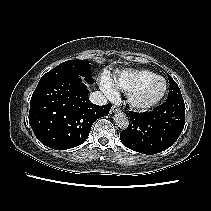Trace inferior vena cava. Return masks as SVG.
Wrapping results in <instances>:
<instances>
[{
  "label": "inferior vena cava",
  "instance_id": "602c4592",
  "mask_svg": "<svg viewBox=\"0 0 211 211\" xmlns=\"http://www.w3.org/2000/svg\"><path fill=\"white\" fill-rule=\"evenodd\" d=\"M89 99L92 103L96 105H105L107 104V99L103 93L100 91H95L90 94Z\"/></svg>",
  "mask_w": 211,
  "mask_h": 211
}]
</instances>
